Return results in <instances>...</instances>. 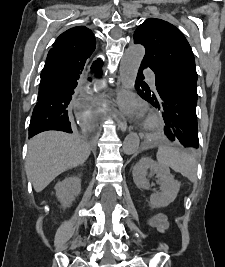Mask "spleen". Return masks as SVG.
Segmentation results:
<instances>
[{
  "instance_id": "spleen-1",
  "label": "spleen",
  "mask_w": 225,
  "mask_h": 267,
  "mask_svg": "<svg viewBox=\"0 0 225 267\" xmlns=\"http://www.w3.org/2000/svg\"><path fill=\"white\" fill-rule=\"evenodd\" d=\"M156 157L160 165L172 168L175 172L182 174L191 182L196 181L197 163L195 158L190 154L170 146H160Z\"/></svg>"
}]
</instances>
